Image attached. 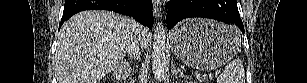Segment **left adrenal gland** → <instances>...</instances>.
<instances>
[{
    "label": "left adrenal gland",
    "instance_id": "a2214340",
    "mask_svg": "<svg viewBox=\"0 0 307 83\" xmlns=\"http://www.w3.org/2000/svg\"><path fill=\"white\" fill-rule=\"evenodd\" d=\"M171 73L173 76H184L183 72H181V70L179 68H176L174 64H172V69H171Z\"/></svg>",
    "mask_w": 307,
    "mask_h": 83
}]
</instances>
